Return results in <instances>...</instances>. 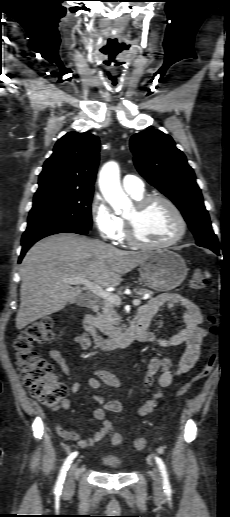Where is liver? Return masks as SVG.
<instances>
[{
  "instance_id": "1",
  "label": "liver",
  "mask_w": 230,
  "mask_h": 517,
  "mask_svg": "<svg viewBox=\"0 0 230 517\" xmlns=\"http://www.w3.org/2000/svg\"><path fill=\"white\" fill-rule=\"evenodd\" d=\"M149 252L115 248L99 240L58 234L44 238L26 253L21 266L20 308L16 328L62 310L81 298L83 288L66 281L81 277L102 287H116L122 275L141 265Z\"/></svg>"
}]
</instances>
